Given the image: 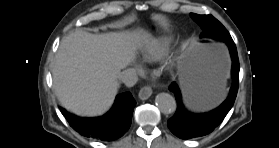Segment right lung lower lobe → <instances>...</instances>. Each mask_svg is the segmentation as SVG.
Listing matches in <instances>:
<instances>
[{"instance_id":"obj_1","label":"right lung lower lobe","mask_w":279,"mask_h":148,"mask_svg":"<svg viewBox=\"0 0 279 148\" xmlns=\"http://www.w3.org/2000/svg\"><path fill=\"white\" fill-rule=\"evenodd\" d=\"M136 102L130 92L116 97L112 109L105 115L95 118L78 117L61 110L70 126L83 136L101 141H113L129 129L133 108Z\"/></svg>"}]
</instances>
